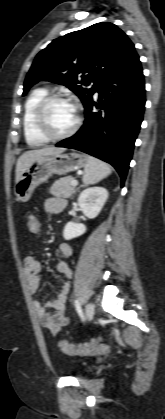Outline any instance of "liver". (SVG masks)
I'll use <instances>...</instances> for the list:
<instances>
[{
  "label": "liver",
  "instance_id": "6515ba94",
  "mask_svg": "<svg viewBox=\"0 0 165 419\" xmlns=\"http://www.w3.org/2000/svg\"><path fill=\"white\" fill-rule=\"evenodd\" d=\"M65 148H57L53 146H46L41 149H34L24 152L17 160L16 164V183L19 181L22 173L34 162L37 158L42 156H49L63 153Z\"/></svg>",
  "mask_w": 165,
  "mask_h": 419
}]
</instances>
